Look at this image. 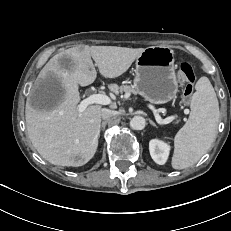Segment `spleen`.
<instances>
[{"instance_id":"obj_1","label":"spleen","mask_w":231,"mask_h":231,"mask_svg":"<svg viewBox=\"0 0 231 231\" xmlns=\"http://www.w3.org/2000/svg\"><path fill=\"white\" fill-rule=\"evenodd\" d=\"M191 112L174 139L172 167L185 169L196 164L214 141L219 122V103L212 84L201 77L195 85Z\"/></svg>"}]
</instances>
